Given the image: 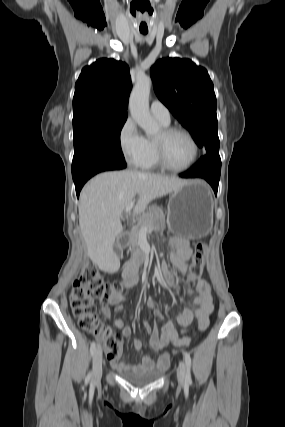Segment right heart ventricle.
I'll list each match as a JSON object with an SVG mask.
<instances>
[{"label": "right heart ventricle", "instance_id": "right-heart-ventricle-1", "mask_svg": "<svg viewBox=\"0 0 285 427\" xmlns=\"http://www.w3.org/2000/svg\"><path fill=\"white\" fill-rule=\"evenodd\" d=\"M161 123V122H160ZM164 127H167L168 124L161 123ZM137 166L144 170H153L159 167L157 160L156 149L154 139H146V150L144 155L141 157Z\"/></svg>", "mask_w": 285, "mask_h": 427}]
</instances>
